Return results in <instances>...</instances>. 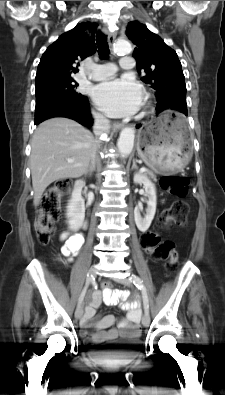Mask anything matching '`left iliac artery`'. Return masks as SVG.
Returning a JSON list of instances; mask_svg holds the SVG:
<instances>
[{
    "mask_svg": "<svg viewBox=\"0 0 225 395\" xmlns=\"http://www.w3.org/2000/svg\"><path fill=\"white\" fill-rule=\"evenodd\" d=\"M130 281L133 282V284L142 292V298H143V304H144V309L145 312H149V301H148V296L146 292V288L143 285V281L136 275H132L130 277Z\"/></svg>",
    "mask_w": 225,
    "mask_h": 395,
    "instance_id": "obj_1",
    "label": "left iliac artery"
}]
</instances>
